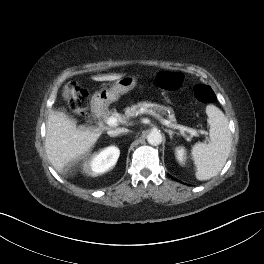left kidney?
Returning <instances> with one entry per match:
<instances>
[{
	"mask_svg": "<svg viewBox=\"0 0 264 264\" xmlns=\"http://www.w3.org/2000/svg\"><path fill=\"white\" fill-rule=\"evenodd\" d=\"M176 158L181 164H184V161H185V150H184L183 147H178L176 149Z\"/></svg>",
	"mask_w": 264,
	"mask_h": 264,
	"instance_id": "obj_1",
	"label": "left kidney"
}]
</instances>
